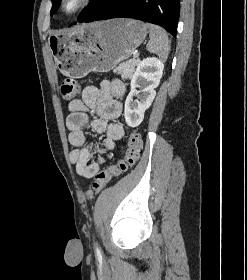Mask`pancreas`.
<instances>
[{
  "instance_id": "obj_1",
  "label": "pancreas",
  "mask_w": 247,
  "mask_h": 280,
  "mask_svg": "<svg viewBox=\"0 0 247 280\" xmlns=\"http://www.w3.org/2000/svg\"><path fill=\"white\" fill-rule=\"evenodd\" d=\"M139 63V59H132L127 62L121 63L118 67L114 69V73H118L121 75L122 79H131L133 76V72L135 67Z\"/></svg>"
}]
</instances>
